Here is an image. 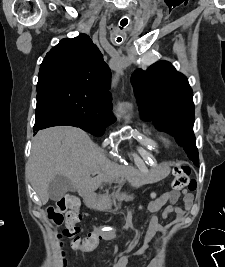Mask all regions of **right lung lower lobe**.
<instances>
[{
	"label": "right lung lower lobe",
	"instance_id": "1",
	"mask_svg": "<svg viewBox=\"0 0 225 267\" xmlns=\"http://www.w3.org/2000/svg\"><path fill=\"white\" fill-rule=\"evenodd\" d=\"M35 117L34 134L41 129L52 126L68 125L78 127V124L67 113L45 96H37Z\"/></svg>",
	"mask_w": 225,
	"mask_h": 267
}]
</instances>
